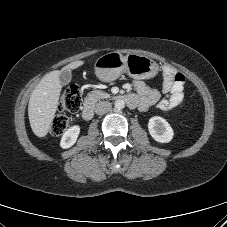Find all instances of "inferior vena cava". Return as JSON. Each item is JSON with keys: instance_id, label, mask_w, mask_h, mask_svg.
Returning <instances> with one entry per match:
<instances>
[{"instance_id": "inferior-vena-cava-1", "label": "inferior vena cava", "mask_w": 227, "mask_h": 227, "mask_svg": "<svg viewBox=\"0 0 227 227\" xmlns=\"http://www.w3.org/2000/svg\"><path fill=\"white\" fill-rule=\"evenodd\" d=\"M112 109V105L108 101H101L95 105V113L98 115L106 114Z\"/></svg>"}]
</instances>
